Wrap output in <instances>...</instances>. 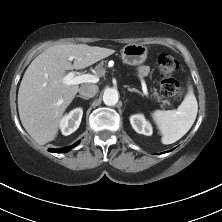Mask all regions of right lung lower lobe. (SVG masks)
I'll list each match as a JSON object with an SVG mask.
<instances>
[{"label": "right lung lower lobe", "instance_id": "obj_1", "mask_svg": "<svg viewBox=\"0 0 222 222\" xmlns=\"http://www.w3.org/2000/svg\"><path fill=\"white\" fill-rule=\"evenodd\" d=\"M79 142H76L75 144L69 146V147H65V148H61V149H52L49 148L48 151L50 152H54V153H62V152H67L68 150H70L71 148L75 147Z\"/></svg>", "mask_w": 222, "mask_h": 222}]
</instances>
